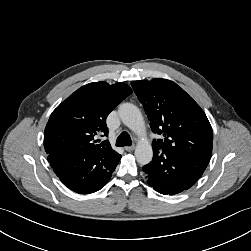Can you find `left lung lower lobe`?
<instances>
[{"label": "left lung lower lobe", "mask_w": 251, "mask_h": 251, "mask_svg": "<svg viewBox=\"0 0 251 251\" xmlns=\"http://www.w3.org/2000/svg\"><path fill=\"white\" fill-rule=\"evenodd\" d=\"M153 159L143 166L147 182L157 192L174 195L189 189L205 171L210 159L170 150L153 149Z\"/></svg>", "instance_id": "0a47b994"}]
</instances>
